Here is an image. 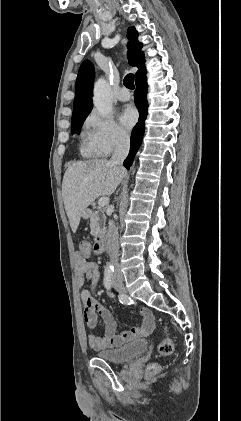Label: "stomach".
<instances>
[{
    "mask_svg": "<svg viewBox=\"0 0 241 421\" xmlns=\"http://www.w3.org/2000/svg\"><path fill=\"white\" fill-rule=\"evenodd\" d=\"M84 219H88L90 216H91V214H90V212L88 211V210H85L83 213H82V215H81Z\"/></svg>",
    "mask_w": 241,
    "mask_h": 421,
    "instance_id": "1",
    "label": "stomach"
}]
</instances>
